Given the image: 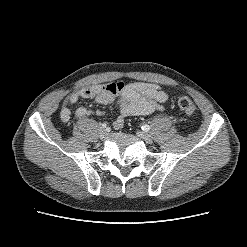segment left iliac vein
<instances>
[{
    "instance_id": "obj_1",
    "label": "left iliac vein",
    "mask_w": 247,
    "mask_h": 247,
    "mask_svg": "<svg viewBox=\"0 0 247 247\" xmlns=\"http://www.w3.org/2000/svg\"><path fill=\"white\" fill-rule=\"evenodd\" d=\"M136 134L139 138L143 139L146 143L150 144L153 142L152 136L148 133H145L143 131H137Z\"/></svg>"
}]
</instances>
